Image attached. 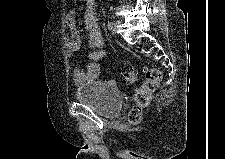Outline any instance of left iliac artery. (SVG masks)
<instances>
[{"mask_svg": "<svg viewBox=\"0 0 225 159\" xmlns=\"http://www.w3.org/2000/svg\"><path fill=\"white\" fill-rule=\"evenodd\" d=\"M107 26L110 28L112 26V22H108Z\"/></svg>", "mask_w": 225, "mask_h": 159, "instance_id": "left-iliac-artery-1", "label": "left iliac artery"}]
</instances>
